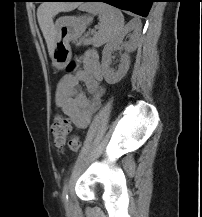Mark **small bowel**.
Returning <instances> with one entry per match:
<instances>
[{"instance_id": "1", "label": "small bowel", "mask_w": 202, "mask_h": 217, "mask_svg": "<svg viewBox=\"0 0 202 217\" xmlns=\"http://www.w3.org/2000/svg\"><path fill=\"white\" fill-rule=\"evenodd\" d=\"M81 62L82 66L74 74H66L60 79L55 92L57 105L77 129H84L90 124L105 94L100 84L103 71L97 54L89 52ZM80 83L85 84L91 98L80 88Z\"/></svg>"}]
</instances>
